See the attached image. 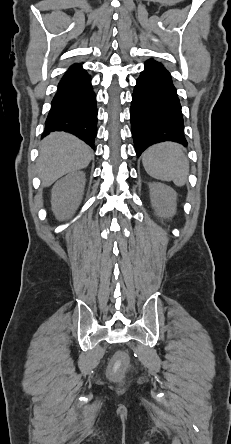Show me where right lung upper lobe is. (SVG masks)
I'll list each match as a JSON object with an SVG mask.
<instances>
[{"label": "right lung upper lobe", "mask_w": 231, "mask_h": 444, "mask_svg": "<svg viewBox=\"0 0 231 444\" xmlns=\"http://www.w3.org/2000/svg\"><path fill=\"white\" fill-rule=\"evenodd\" d=\"M80 66H81V65H79V64H73L72 66H70V69H69V70L79 68Z\"/></svg>", "instance_id": "obj_1"}]
</instances>
